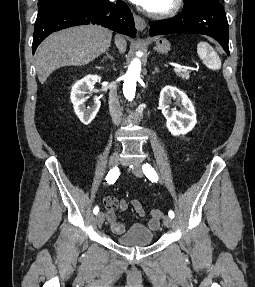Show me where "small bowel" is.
<instances>
[{"label": "small bowel", "instance_id": "1", "mask_svg": "<svg viewBox=\"0 0 255 287\" xmlns=\"http://www.w3.org/2000/svg\"><path fill=\"white\" fill-rule=\"evenodd\" d=\"M133 210L140 216L145 217L147 215L146 210L142 206L139 200L134 199L130 202ZM104 205L106 208V218L111 231L115 234H121L126 230V227L119 223L116 219V210L125 211L129 204L126 200H118L115 197H106L104 200ZM148 226L152 230H157L159 227V219L151 217L148 220Z\"/></svg>", "mask_w": 255, "mask_h": 287}]
</instances>
